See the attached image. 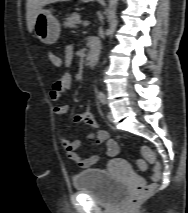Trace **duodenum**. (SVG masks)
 I'll use <instances>...</instances> for the list:
<instances>
[{"label": "duodenum", "mask_w": 188, "mask_h": 213, "mask_svg": "<svg viewBox=\"0 0 188 213\" xmlns=\"http://www.w3.org/2000/svg\"><path fill=\"white\" fill-rule=\"evenodd\" d=\"M89 52L87 55L86 63L89 67H93L98 60L100 53V43L97 39L90 38L89 39Z\"/></svg>", "instance_id": "duodenum-1"}]
</instances>
